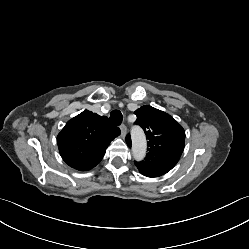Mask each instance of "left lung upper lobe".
I'll list each match as a JSON object with an SVG mask.
<instances>
[{
  "instance_id": "left-lung-upper-lobe-1",
  "label": "left lung upper lobe",
  "mask_w": 249,
  "mask_h": 249,
  "mask_svg": "<svg viewBox=\"0 0 249 249\" xmlns=\"http://www.w3.org/2000/svg\"><path fill=\"white\" fill-rule=\"evenodd\" d=\"M134 114L148 139V153L142 162H135L139 171L148 177H158L170 171L178 162L185 143L182 126L167 113L151 106H142ZM126 142L131 146L128 135Z\"/></svg>"
}]
</instances>
